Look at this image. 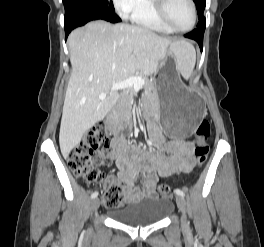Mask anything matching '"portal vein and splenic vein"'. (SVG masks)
I'll list each match as a JSON object with an SVG mask.
<instances>
[{
	"label": "portal vein and splenic vein",
	"instance_id": "portal-vein-and-splenic-vein-1",
	"mask_svg": "<svg viewBox=\"0 0 264 247\" xmlns=\"http://www.w3.org/2000/svg\"><path fill=\"white\" fill-rule=\"evenodd\" d=\"M145 84V79L140 77V76H132L129 77L119 83L113 84L112 86V91H118V90H122V89H126L129 87H134L139 89L142 85ZM106 94L105 93H101L99 95V99L103 100L106 98Z\"/></svg>",
	"mask_w": 264,
	"mask_h": 247
}]
</instances>
